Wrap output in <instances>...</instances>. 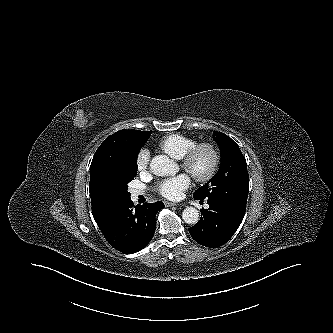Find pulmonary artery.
Masks as SVG:
<instances>
[{
	"instance_id": "1",
	"label": "pulmonary artery",
	"mask_w": 333,
	"mask_h": 333,
	"mask_svg": "<svg viewBox=\"0 0 333 333\" xmlns=\"http://www.w3.org/2000/svg\"><path fill=\"white\" fill-rule=\"evenodd\" d=\"M134 194H135V195H140V194H142V192L139 191V190H136V191H134Z\"/></svg>"
}]
</instances>
